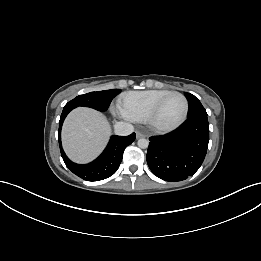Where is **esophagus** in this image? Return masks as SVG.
Here are the masks:
<instances>
[{
  "label": "esophagus",
  "instance_id": "obj_1",
  "mask_svg": "<svg viewBox=\"0 0 261 261\" xmlns=\"http://www.w3.org/2000/svg\"><path fill=\"white\" fill-rule=\"evenodd\" d=\"M145 137V135L139 131L136 132V139H140V138H143Z\"/></svg>",
  "mask_w": 261,
  "mask_h": 261
}]
</instances>
